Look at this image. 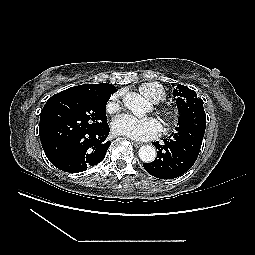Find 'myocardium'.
I'll return each mask as SVG.
<instances>
[{
    "instance_id": "1",
    "label": "myocardium",
    "mask_w": 255,
    "mask_h": 255,
    "mask_svg": "<svg viewBox=\"0 0 255 255\" xmlns=\"http://www.w3.org/2000/svg\"><path fill=\"white\" fill-rule=\"evenodd\" d=\"M159 114L168 127L176 125L181 118L180 111L175 107H162L159 110Z\"/></svg>"
}]
</instances>
